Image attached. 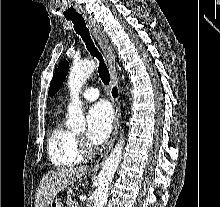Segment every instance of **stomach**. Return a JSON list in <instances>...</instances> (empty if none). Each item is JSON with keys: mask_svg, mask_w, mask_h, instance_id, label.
<instances>
[{"mask_svg": "<svg viewBox=\"0 0 220 207\" xmlns=\"http://www.w3.org/2000/svg\"><path fill=\"white\" fill-rule=\"evenodd\" d=\"M48 207H62V204L59 200H54Z\"/></svg>", "mask_w": 220, "mask_h": 207, "instance_id": "stomach-1", "label": "stomach"}]
</instances>
